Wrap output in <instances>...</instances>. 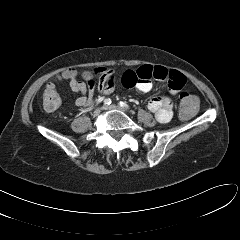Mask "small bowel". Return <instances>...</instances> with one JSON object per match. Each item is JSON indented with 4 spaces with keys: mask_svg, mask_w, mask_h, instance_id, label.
Instances as JSON below:
<instances>
[{
    "mask_svg": "<svg viewBox=\"0 0 240 240\" xmlns=\"http://www.w3.org/2000/svg\"><path fill=\"white\" fill-rule=\"evenodd\" d=\"M95 76H98V90L101 94L109 95L114 91L115 73L107 68L85 71L82 74L83 81L78 80L74 74L68 77L62 76L69 80L71 90L80 94L75 101L77 107L86 108L91 105L96 87ZM152 79L165 81L172 95L177 94L186 84L185 76L179 71L148 65L125 71L121 77V83L127 88H135L140 93H148L152 89ZM147 107L161 123L169 122L174 114L171 100L165 95L152 97Z\"/></svg>",
    "mask_w": 240,
    "mask_h": 240,
    "instance_id": "1",
    "label": "small bowel"
}]
</instances>
